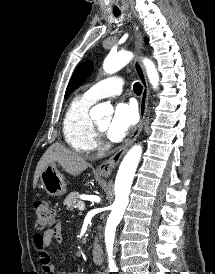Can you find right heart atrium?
<instances>
[{
    "label": "right heart atrium",
    "instance_id": "1",
    "mask_svg": "<svg viewBox=\"0 0 215 274\" xmlns=\"http://www.w3.org/2000/svg\"><path fill=\"white\" fill-rule=\"evenodd\" d=\"M95 147H98V148L102 147V142L98 137H96L95 139Z\"/></svg>",
    "mask_w": 215,
    "mask_h": 274
}]
</instances>
